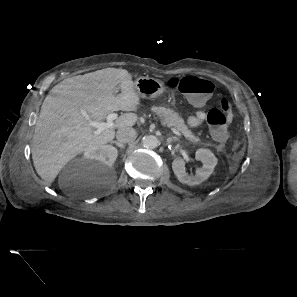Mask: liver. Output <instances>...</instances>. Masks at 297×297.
I'll list each match as a JSON object with an SVG mask.
<instances>
[{
  "instance_id": "obj_1",
  "label": "liver",
  "mask_w": 297,
  "mask_h": 297,
  "mask_svg": "<svg viewBox=\"0 0 297 297\" xmlns=\"http://www.w3.org/2000/svg\"><path fill=\"white\" fill-rule=\"evenodd\" d=\"M117 85L121 93L115 95ZM140 105L132 76L125 69L106 68L61 81L44 99L36 122L31 153L37 174L50 185L77 155L111 142L115 129L132 127L138 120L133 112ZM118 110L127 113L113 127L95 135L90 123H102Z\"/></svg>"
}]
</instances>
